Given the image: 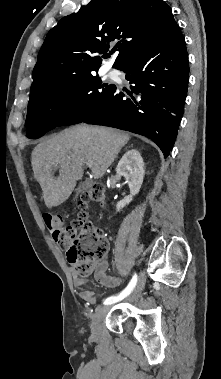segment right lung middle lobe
<instances>
[{"label":"right lung middle lobe","instance_id":"1","mask_svg":"<svg viewBox=\"0 0 221 379\" xmlns=\"http://www.w3.org/2000/svg\"><path fill=\"white\" fill-rule=\"evenodd\" d=\"M94 73L55 82L31 99L26 118V136L37 139L57 126L72 124L86 116L111 92Z\"/></svg>","mask_w":221,"mask_h":379}]
</instances>
